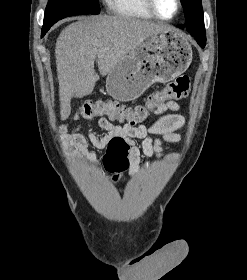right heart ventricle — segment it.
I'll return each instance as SVG.
<instances>
[{
  "label": "right heart ventricle",
  "instance_id": "obj_1",
  "mask_svg": "<svg viewBox=\"0 0 247 280\" xmlns=\"http://www.w3.org/2000/svg\"><path fill=\"white\" fill-rule=\"evenodd\" d=\"M109 10L118 16L152 20L145 0H106Z\"/></svg>",
  "mask_w": 247,
  "mask_h": 280
}]
</instances>
